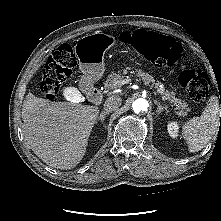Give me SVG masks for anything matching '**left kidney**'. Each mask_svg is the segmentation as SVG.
I'll use <instances>...</instances> for the list:
<instances>
[{
    "label": "left kidney",
    "mask_w": 221,
    "mask_h": 221,
    "mask_svg": "<svg viewBox=\"0 0 221 221\" xmlns=\"http://www.w3.org/2000/svg\"><path fill=\"white\" fill-rule=\"evenodd\" d=\"M179 128H180L179 124L175 121L169 122L168 125H167L168 133L172 138H177L178 137Z\"/></svg>",
    "instance_id": "left-kidney-1"
}]
</instances>
